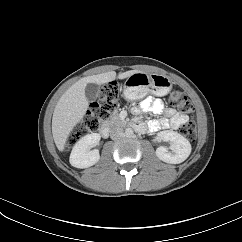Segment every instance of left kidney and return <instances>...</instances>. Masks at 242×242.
<instances>
[{"label": "left kidney", "instance_id": "1", "mask_svg": "<svg viewBox=\"0 0 242 242\" xmlns=\"http://www.w3.org/2000/svg\"><path fill=\"white\" fill-rule=\"evenodd\" d=\"M158 141L170 142V147L159 146L156 150L157 157L171 164H179L185 161L191 153V144L190 142L181 134L172 131L166 130L161 131L157 135Z\"/></svg>", "mask_w": 242, "mask_h": 242}]
</instances>
